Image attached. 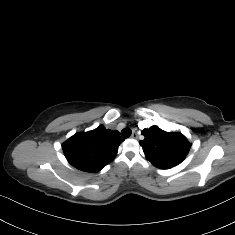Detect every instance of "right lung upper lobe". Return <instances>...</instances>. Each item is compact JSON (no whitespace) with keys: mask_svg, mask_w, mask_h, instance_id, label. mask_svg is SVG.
Masks as SVG:
<instances>
[{"mask_svg":"<svg viewBox=\"0 0 235 235\" xmlns=\"http://www.w3.org/2000/svg\"><path fill=\"white\" fill-rule=\"evenodd\" d=\"M122 141L118 131L99 126L89 132L76 133L62 144V149L72 166L96 173L116 157Z\"/></svg>","mask_w":235,"mask_h":235,"instance_id":"cb5924a9","label":"right lung upper lobe"}]
</instances>
